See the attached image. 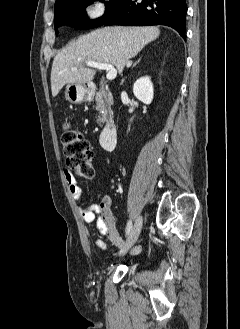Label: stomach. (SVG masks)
Here are the masks:
<instances>
[{
  "mask_svg": "<svg viewBox=\"0 0 240 329\" xmlns=\"http://www.w3.org/2000/svg\"><path fill=\"white\" fill-rule=\"evenodd\" d=\"M89 94V88L85 84H67L65 89L66 99L73 104L82 103Z\"/></svg>",
  "mask_w": 240,
  "mask_h": 329,
  "instance_id": "1",
  "label": "stomach"
}]
</instances>
